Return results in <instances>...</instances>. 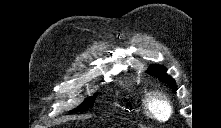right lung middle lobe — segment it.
Instances as JSON below:
<instances>
[{"instance_id":"right-lung-middle-lobe-1","label":"right lung middle lobe","mask_w":221,"mask_h":128,"mask_svg":"<svg viewBox=\"0 0 221 128\" xmlns=\"http://www.w3.org/2000/svg\"><path fill=\"white\" fill-rule=\"evenodd\" d=\"M96 96H97V94H95L92 97L86 98L85 101L77 107V109L70 111V113H76L77 111L84 112V111H87L89 108H92Z\"/></svg>"}]
</instances>
